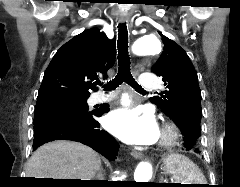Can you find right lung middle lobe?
Returning <instances> with one entry per match:
<instances>
[{
    "label": "right lung middle lobe",
    "instance_id": "1",
    "mask_svg": "<svg viewBox=\"0 0 240 187\" xmlns=\"http://www.w3.org/2000/svg\"><path fill=\"white\" fill-rule=\"evenodd\" d=\"M87 99L88 98L61 99L38 105L34 110V118L50 111H59L72 116L87 115L91 112L87 106Z\"/></svg>",
    "mask_w": 240,
    "mask_h": 187
}]
</instances>
